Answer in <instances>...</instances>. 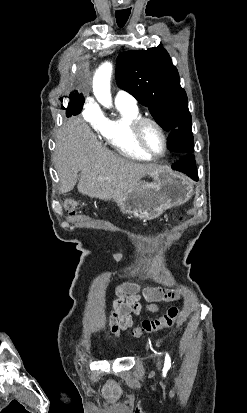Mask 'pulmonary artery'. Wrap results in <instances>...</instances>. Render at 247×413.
Returning <instances> with one entry per match:
<instances>
[{
  "mask_svg": "<svg viewBox=\"0 0 247 413\" xmlns=\"http://www.w3.org/2000/svg\"><path fill=\"white\" fill-rule=\"evenodd\" d=\"M115 101L119 105L133 107L136 105V98L127 90L118 89L115 96Z\"/></svg>",
  "mask_w": 247,
  "mask_h": 413,
  "instance_id": "e3ab8cb5",
  "label": "pulmonary artery"
}]
</instances>
